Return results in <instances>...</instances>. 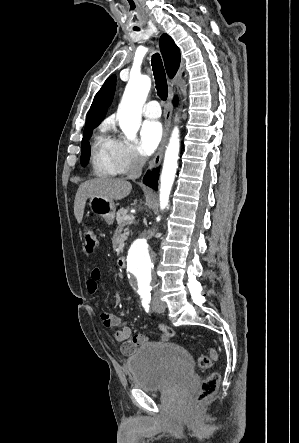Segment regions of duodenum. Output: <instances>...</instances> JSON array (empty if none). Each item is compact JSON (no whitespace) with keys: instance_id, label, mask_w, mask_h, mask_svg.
<instances>
[{"instance_id":"410a0bca","label":"duodenum","mask_w":299,"mask_h":443,"mask_svg":"<svg viewBox=\"0 0 299 443\" xmlns=\"http://www.w3.org/2000/svg\"><path fill=\"white\" fill-rule=\"evenodd\" d=\"M116 264H117V267H118V268H120V269L124 268L125 265H126V260H125V258L122 257V256L118 257L117 260H116Z\"/></svg>"}]
</instances>
